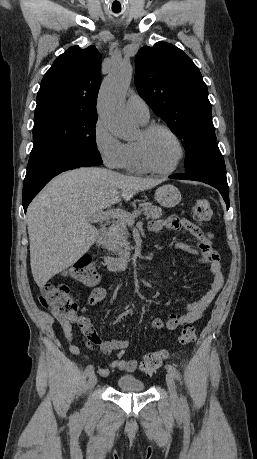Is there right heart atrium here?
<instances>
[{
    "mask_svg": "<svg viewBox=\"0 0 257 459\" xmlns=\"http://www.w3.org/2000/svg\"><path fill=\"white\" fill-rule=\"evenodd\" d=\"M95 148L106 166L122 168L126 158V145L119 140L102 119H98L93 130Z\"/></svg>",
    "mask_w": 257,
    "mask_h": 459,
    "instance_id": "d8ad5b80",
    "label": "right heart atrium"
}]
</instances>
